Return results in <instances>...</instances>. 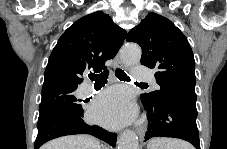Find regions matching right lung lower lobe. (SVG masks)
<instances>
[{"label": "right lung lower lobe", "instance_id": "right-lung-lower-lobe-1", "mask_svg": "<svg viewBox=\"0 0 227 149\" xmlns=\"http://www.w3.org/2000/svg\"><path fill=\"white\" fill-rule=\"evenodd\" d=\"M82 117L83 111H62L40 119L37 123L38 135L35 140V149L51 139L73 134H90L112 147L116 146L117 134L108 132L99 126L87 125Z\"/></svg>", "mask_w": 227, "mask_h": 149}]
</instances>
